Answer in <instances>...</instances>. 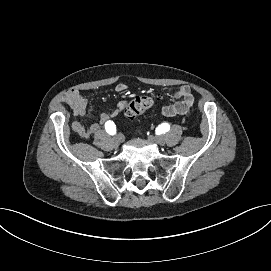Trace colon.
Returning a JSON list of instances; mask_svg holds the SVG:
<instances>
[{"label": "colon", "mask_w": 271, "mask_h": 271, "mask_svg": "<svg viewBox=\"0 0 271 271\" xmlns=\"http://www.w3.org/2000/svg\"><path fill=\"white\" fill-rule=\"evenodd\" d=\"M155 102V98L150 95H141L132 99L125 105V115L134 118L149 110Z\"/></svg>", "instance_id": "colon-1"}]
</instances>
